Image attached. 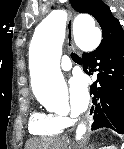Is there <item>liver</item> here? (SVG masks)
<instances>
[{"instance_id":"1","label":"liver","mask_w":124,"mask_h":149,"mask_svg":"<svg viewBox=\"0 0 124 149\" xmlns=\"http://www.w3.org/2000/svg\"><path fill=\"white\" fill-rule=\"evenodd\" d=\"M52 139H30L25 146V149H52Z\"/></svg>"}]
</instances>
